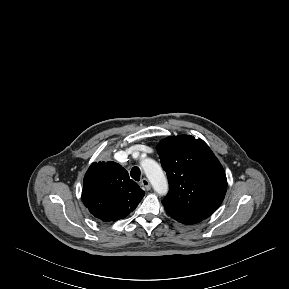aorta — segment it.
Returning <instances> with one entry per match:
<instances>
[{"label":"aorta","instance_id":"1","mask_svg":"<svg viewBox=\"0 0 289 289\" xmlns=\"http://www.w3.org/2000/svg\"><path fill=\"white\" fill-rule=\"evenodd\" d=\"M141 166L155 192L159 195H166L168 192V182L160 165L152 159H144L141 162Z\"/></svg>","mask_w":289,"mask_h":289}]
</instances>
